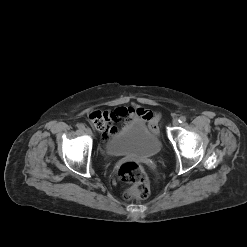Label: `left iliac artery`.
<instances>
[{"mask_svg":"<svg viewBox=\"0 0 247 247\" xmlns=\"http://www.w3.org/2000/svg\"><path fill=\"white\" fill-rule=\"evenodd\" d=\"M186 121V117L185 116H181L179 118V123H184Z\"/></svg>","mask_w":247,"mask_h":247,"instance_id":"1","label":"left iliac artery"}]
</instances>
